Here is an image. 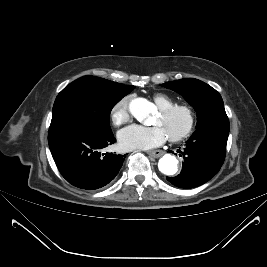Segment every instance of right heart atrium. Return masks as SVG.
Returning <instances> with one entry per match:
<instances>
[{"label": "right heart atrium", "mask_w": 267, "mask_h": 267, "mask_svg": "<svg viewBox=\"0 0 267 267\" xmlns=\"http://www.w3.org/2000/svg\"><path fill=\"white\" fill-rule=\"evenodd\" d=\"M111 121L115 126L126 124L130 120L129 98L120 99L111 109Z\"/></svg>", "instance_id": "obj_1"}]
</instances>
